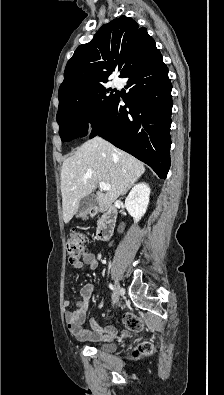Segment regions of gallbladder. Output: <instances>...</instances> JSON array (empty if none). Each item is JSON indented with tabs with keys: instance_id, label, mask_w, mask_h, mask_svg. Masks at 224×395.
<instances>
[{
	"instance_id": "1",
	"label": "gallbladder",
	"mask_w": 224,
	"mask_h": 395,
	"mask_svg": "<svg viewBox=\"0 0 224 395\" xmlns=\"http://www.w3.org/2000/svg\"><path fill=\"white\" fill-rule=\"evenodd\" d=\"M98 203L96 195L89 194L81 199L77 210V217H82L87 211L94 208Z\"/></svg>"
}]
</instances>
